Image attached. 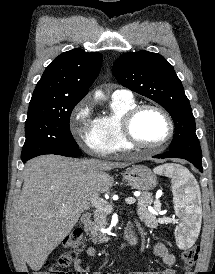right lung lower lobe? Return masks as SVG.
Masks as SVG:
<instances>
[{"mask_svg": "<svg viewBox=\"0 0 215 274\" xmlns=\"http://www.w3.org/2000/svg\"><path fill=\"white\" fill-rule=\"evenodd\" d=\"M54 154L63 155V156H67V157H74V156L81 155V151L78 148H74V149H70V150L60 151V152H57ZM28 160H29L28 158L22 159L23 163H25Z\"/></svg>", "mask_w": 215, "mask_h": 274, "instance_id": "right-lung-lower-lobe-1", "label": "right lung lower lobe"}]
</instances>
